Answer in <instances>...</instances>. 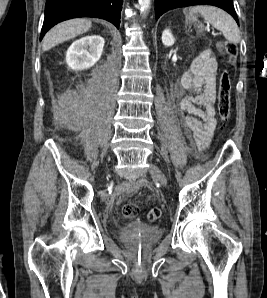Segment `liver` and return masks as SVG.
<instances>
[{
	"label": "liver",
	"mask_w": 267,
	"mask_h": 298,
	"mask_svg": "<svg viewBox=\"0 0 267 298\" xmlns=\"http://www.w3.org/2000/svg\"><path fill=\"white\" fill-rule=\"evenodd\" d=\"M92 26L88 19H72L53 27L44 37L42 49L47 51L54 46L87 32Z\"/></svg>",
	"instance_id": "obj_1"
}]
</instances>
